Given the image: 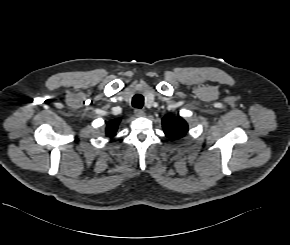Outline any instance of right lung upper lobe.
Returning <instances> with one entry per match:
<instances>
[{
    "instance_id": "1",
    "label": "right lung upper lobe",
    "mask_w": 290,
    "mask_h": 245,
    "mask_svg": "<svg viewBox=\"0 0 290 245\" xmlns=\"http://www.w3.org/2000/svg\"><path fill=\"white\" fill-rule=\"evenodd\" d=\"M120 123V120L117 119V120H114V121H111L107 124V127H106V135L108 137H112L115 135L117 129H118V125Z\"/></svg>"
}]
</instances>
